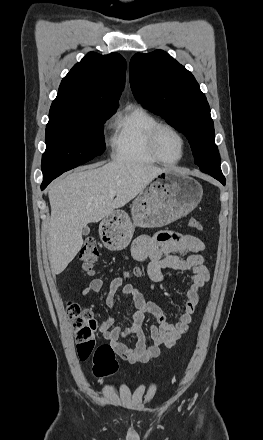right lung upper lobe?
<instances>
[{"label": "right lung upper lobe", "instance_id": "1", "mask_svg": "<svg viewBox=\"0 0 263 440\" xmlns=\"http://www.w3.org/2000/svg\"><path fill=\"white\" fill-rule=\"evenodd\" d=\"M126 61L118 53H88L63 78L49 117L116 112L124 87Z\"/></svg>", "mask_w": 263, "mask_h": 440}]
</instances>
